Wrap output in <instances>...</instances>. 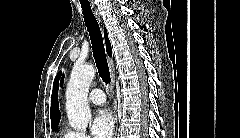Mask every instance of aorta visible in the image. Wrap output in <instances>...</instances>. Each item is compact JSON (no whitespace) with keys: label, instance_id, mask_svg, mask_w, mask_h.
Wrapping results in <instances>:
<instances>
[{"label":"aorta","instance_id":"obj_1","mask_svg":"<svg viewBox=\"0 0 240 138\" xmlns=\"http://www.w3.org/2000/svg\"><path fill=\"white\" fill-rule=\"evenodd\" d=\"M95 75L91 64L75 65L66 90V112L71 127L85 131L91 120L87 94Z\"/></svg>","mask_w":240,"mask_h":138}]
</instances>
